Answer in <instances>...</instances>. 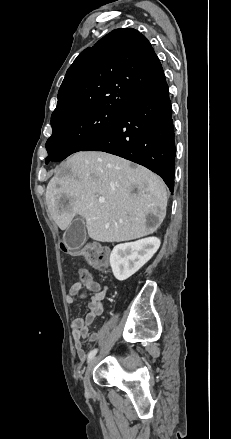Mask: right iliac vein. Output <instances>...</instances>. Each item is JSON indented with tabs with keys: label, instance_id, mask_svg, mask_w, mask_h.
<instances>
[{
	"label": "right iliac vein",
	"instance_id": "1",
	"mask_svg": "<svg viewBox=\"0 0 231 439\" xmlns=\"http://www.w3.org/2000/svg\"><path fill=\"white\" fill-rule=\"evenodd\" d=\"M95 364H96V357H93L90 360V362L88 363V365L85 369V372H84L83 382H84L85 390L88 394L93 393V387L91 385L90 376H91V373H92V370H93Z\"/></svg>",
	"mask_w": 231,
	"mask_h": 439
}]
</instances>
